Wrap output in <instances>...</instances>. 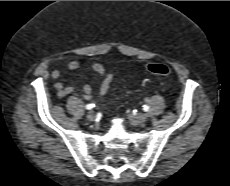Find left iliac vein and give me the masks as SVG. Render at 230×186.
I'll return each mask as SVG.
<instances>
[{"label": "left iliac vein", "mask_w": 230, "mask_h": 186, "mask_svg": "<svg viewBox=\"0 0 230 186\" xmlns=\"http://www.w3.org/2000/svg\"><path fill=\"white\" fill-rule=\"evenodd\" d=\"M132 118L136 124H143L147 119V115L145 113H139Z\"/></svg>", "instance_id": "left-iliac-vein-1"}]
</instances>
